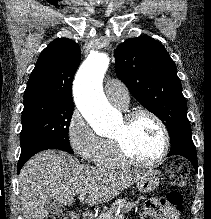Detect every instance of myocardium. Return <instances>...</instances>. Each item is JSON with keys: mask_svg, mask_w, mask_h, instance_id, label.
Wrapping results in <instances>:
<instances>
[{"mask_svg": "<svg viewBox=\"0 0 211 219\" xmlns=\"http://www.w3.org/2000/svg\"><path fill=\"white\" fill-rule=\"evenodd\" d=\"M140 116H147L154 120L162 133V149L156 158L149 161L138 160L127 151L122 137L113 136L111 140L115 149V153L123 164L136 167H153L160 164L169 153V132L163 120L156 113L148 109H136L128 112L124 117L125 127H127Z\"/></svg>", "mask_w": 211, "mask_h": 219, "instance_id": "obj_1", "label": "myocardium"}]
</instances>
